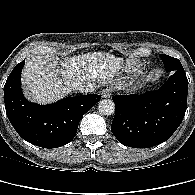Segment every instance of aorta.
<instances>
[{
    "label": "aorta",
    "instance_id": "762f6f07",
    "mask_svg": "<svg viewBox=\"0 0 195 195\" xmlns=\"http://www.w3.org/2000/svg\"><path fill=\"white\" fill-rule=\"evenodd\" d=\"M98 110L103 115H112L115 112V104L110 99H103L98 104Z\"/></svg>",
    "mask_w": 195,
    "mask_h": 195
}]
</instances>
